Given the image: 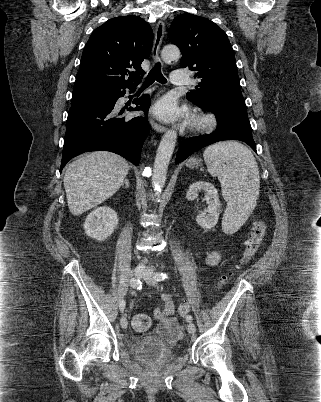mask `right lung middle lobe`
<instances>
[{
	"label": "right lung middle lobe",
	"mask_w": 321,
	"mask_h": 402,
	"mask_svg": "<svg viewBox=\"0 0 321 402\" xmlns=\"http://www.w3.org/2000/svg\"><path fill=\"white\" fill-rule=\"evenodd\" d=\"M107 86L100 85H79L74 86L72 98L93 96V97H104L108 93Z\"/></svg>",
	"instance_id": "1"
}]
</instances>
